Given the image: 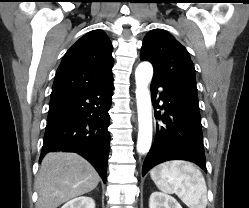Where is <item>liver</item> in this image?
Wrapping results in <instances>:
<instances>
[{"label":"liver","instance_id":"obj_1","mask_svg":"<svg viewBox=\"0 0 249 208\" xmlns=\"http://www.w3.org/2000/svg\"><path fill=\"white\" fill-rule=\"evenodd\" d=\"M100 181L94 167L76 153L45 155L35 181L36 208H57L62 203L95 189Z\"/></svg>","mask_w":249,"mask_h":208}]
</instances>
